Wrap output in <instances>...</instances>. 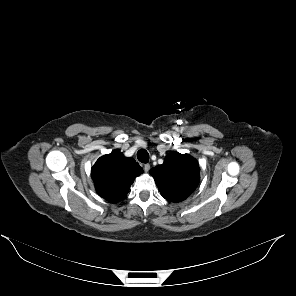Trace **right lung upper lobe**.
Instances as JSON below:
<instances>
[{
  "instance_id": "right-lung-upper-lobe-1",
  "label": "right lung upper lobe",
  "mask_w": 296,
  "mask_h": 296,
  "mask_svg": "<svg viewBox=\"0 0 296 296\" xmlns=\"http://www.w3.org/2000/svg\"><path fill=\"white\" fill-rule=\"evenodd\" d=\"M143 169L131 157H124L119 150L101 156L91 169V177L97 193L111 203L123 200L136 176Z\"/></svg>"
}]
</instances>
